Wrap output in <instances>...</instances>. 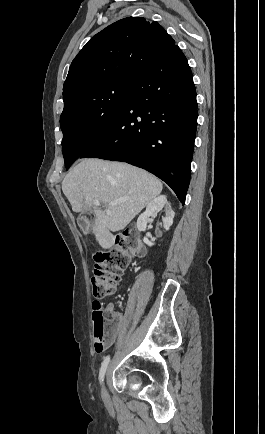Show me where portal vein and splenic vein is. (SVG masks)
Wrapping results in <instances>:
<instances>
[{"instance_id": "1", "label": "portal vein and splenic vein", "mask_w": 265, "mask_h": 434, "mask_svg": "<svg viewBox=\"0 0 265 434\" xmlns=\"http://www.w3.org/2000/svg\"><path fill=\"white\" fill-rule=\"evenodd\" d=\"M128 198H120V200H113V202H108L109 206H116V204H122V202H127ZM94 206H100L99 200H93Z\"/></svg>"}]
</instances>
